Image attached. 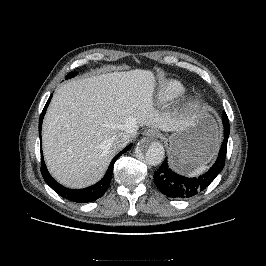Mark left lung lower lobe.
<instances>
[{"label": "left lung lower lobe", "mask_w": 266, "mask_h": 266, "mask_svg": "<svg viewBox=\"0 0 266 266\" xmlns=\"http://www.w3.org/2000/svg\"><path fill=\"white\" fill-rule=\"evenodd\" d=\"M224 141L220 148L214 165L203 175L189 178L173 172L167 158L161 167L154 173V182L158 189L172 198H190L206 189L216 176L222 171L225 164L227 142L229 137V121L226 113H223Z\"/></svg>", "instance_id": "left-lung-lower-lobe-1"}]
</instances>
